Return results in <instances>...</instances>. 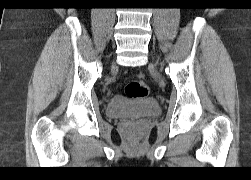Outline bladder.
Returning a JSON list of instances; mask_svg holds the SVG:
<instances>
[{
  "instance_id": "bladder-1",
  "label": "bladder",
  "mask_w": 251,
  "mask_h": 180,
  "mask_svg": "<svg viewBox=\"0 0 251 180\" xmlns=\"http://www.w3.org/2000/svg\"><path fill=\"white\" fill-rule=\"evenodd\" d=\"M159 112L160 104L154 98L129 99L116 95L106 106V115L111 118H143Z\"/></svg>"
}]
</instances>
